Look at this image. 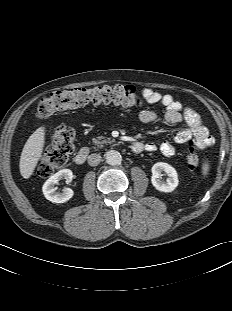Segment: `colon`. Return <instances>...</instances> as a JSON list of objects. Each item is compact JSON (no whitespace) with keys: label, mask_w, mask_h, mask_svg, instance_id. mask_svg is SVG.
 I'll use <instances>...</instances> for the list:
<instances>
[{"label":"colon","mask_w":232,"mask_h":311,"mask_svg":"<svg viewBox=\"0 0 232 311\" xmlns=\"http://www.w3.org/2000/svg\"><path fill=\"white\" fill-rule=\"evenodd\" d=\"M88 103L139 106L141 97L139 90L131 85L72 88L52 93L41 99L37 105L36 115L39 119H44L56 112L77 108ZM74 143V129L68 125L57 126L52 134L50 146L39 161L38 174L47 177L65 166L74 151ZM188 146L186 163L189 169L194 170L199 164L195 141L189 140Z\"/></svg>","instance_id":"obj_1"}]
</instances>
